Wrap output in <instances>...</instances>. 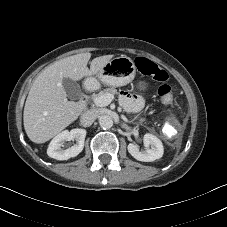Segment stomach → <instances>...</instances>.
<instances>
[{"instance_id": "0dacf381", "label": "stomach", "mask_w": 227, "mask_h": 227, "mask_svg": "<svg viewBox=\"0 0 227 227\" xmlns=\"http://www.w3.org/2000/svg\"><path fill=\"white\" fill-rule=\"evenodd\" d=\"M135 74L133 60L122 55L111 59L96 76L103 84L119 87L132 82Z\"/></svg>"}]
</instances>
